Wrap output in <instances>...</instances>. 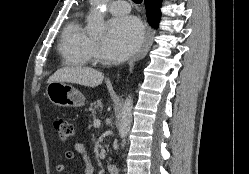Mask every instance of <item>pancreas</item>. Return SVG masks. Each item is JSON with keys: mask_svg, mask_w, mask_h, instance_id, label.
Instances as JSON below:
<instances>
[{"mask_svg": "<svg viewBox=\"0 0 249 174\" xmlns=\"http://www.w3.org/2000/svg\"><path fill=\"white\" fill-rule=\"evenodd\" d=\"M102 102L101 100H97L95 102L90 103V107L88 108V111L91 112V116L95 117L96 116V111L100 109L102 111Z\"/></svg>", "mask_w": 249, "mask_h": 174, "instance_id": "cf45deb5", "label": "pancreas"}]
</instances>
